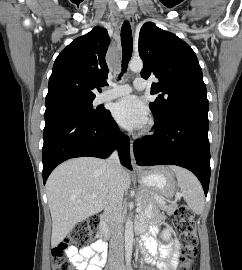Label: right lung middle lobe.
Returning <instances> with one entry per match:
<instances>
[{
	"mask_svg": "<svg viewBox=\"0 0 242 270\" xmlns=\"http://www.w3.org/2000/svg\"><path fill=\"white\" fill-rule=\"evenodd\" d=\"M92 100H79V101H67V102H61L58 104L46 106V111H45V117L63 112V111H70V110H80L92 117H97L100 118L107 114V110L100 109V108H93Z\"/></svg>",
	"mask_w": 242,
	"mask_h": 270,
	"instance_id": "obj_1",
	"label": "right lung middle lobe"
}]
</instances>
